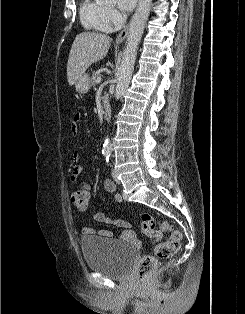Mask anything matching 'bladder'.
<instances>
[{
    "label": "bladder",
    "instance_id": "31cf9c89",
    "mask_svg": "<svg viewBox=\"0 0 245 314\" xmlns=\"http://www.w3.org/2000/svg\"><path fill=\"white\" fill-rule=\"evenodd\" d=\"M87 268L107 277H123L138 257V251L118 240L91 236L81 241Z\"/></svg>",
    "mask_w": 245,
    "mask_h": 314
}]
</instances>
